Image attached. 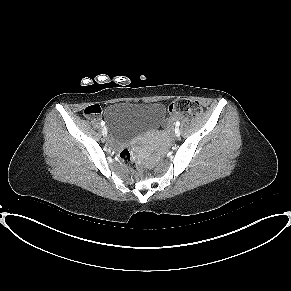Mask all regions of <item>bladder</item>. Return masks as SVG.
I'll use <instances>...</instances> for the list:
<instances>
[{
	"label": "bladder",
	"instance_id": "obj_1",
	"mask_svg": "<svg viewBox=\"0 0 291 291\" xmlns=\"http://www.w3.org/2000/svg\"><path fill=\"white\" fill-rule=\"evenodd\" d=\"M111 137L127 143L132 138L157 128L166 117V107L161 103H110L104 112Z\"/></svg>",
	"mask_w": 291,
	"mask_h": 291
}]
</instances>
